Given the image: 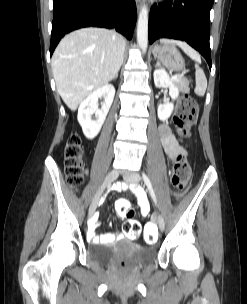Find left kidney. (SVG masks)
Masks as SVG:
<instances>
[{"label": "left kidney", "mask_w": 247, "mask_h": 304, "mask_svg": "<svg viewBox=\"0 0 247 304\" xmlns=\"http://www.w3.org/2000/svg\"><path fill=\"white\" fill-rule=\"evenodd\" d=\"M154 83L156 87H165L169 88V95L172 100H175L179 95L178 88L173 84L172 80L170 79L169 75L164 69H156L154 71ZM174 109V105L172 102H167L164 104H160L158 106V118L162 121L168 119Z\"/></svg>", "instance_id": "1"}]
</instances>
